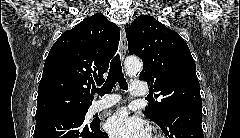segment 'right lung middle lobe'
Returning a JSON list of instances; mask_svg holds the SVG:
<instances>
[{"instance_id": "dd1d6c3e", "label": "right lung middle lobe", "mask_w": 240, "mask_h": 138, "mask_svg": "<svg viewBox=\"0 0 240 138\" xmlns=\"http://www.w3.org/2000/svg\"><path fill=\"white\" fill-rule=\"evenodd\" d=\"M88 108L89 107L72 108V109H66V110L56 111L52 113H47V114L36 115V120L47 118L57 114L73 113L79 116L84 121Z\"/></svg>"}]
</instances>
